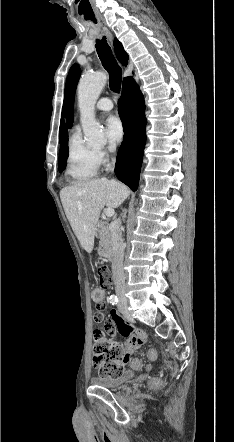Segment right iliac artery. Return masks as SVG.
I'll use <instances>...</instances> for the list:
<instances>
[{
	"label": "right iliac artery",
	"mask_w": 234,
	"mask_h": 442,
	"mask_svg": "<svg viewBox=\"0 0 234 442\" xmlns=\"http://www.w3.org/2000/svg\"><path fill=\"white\" fill-rule=\"evenodd\" d=\"M109 299L112 305H116L118 303V298L115 295H111Z\"/></svg>",
	"instance_id": "1"
}]
</instances>
